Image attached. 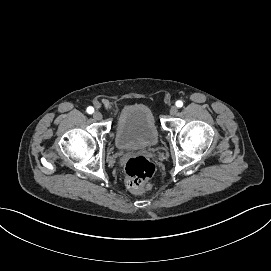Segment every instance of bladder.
<instances>
[{
    "instance_id": "obj_1",
    "label": "bladder",
    "mask_w": 271,
    "mask_h": 271,
    "mask_svg": "<svg viewBox=\"0 0 271 271\" xmlns=\"http://www.w3.org/2000/svg\"><path fill=\"white\" fill-rule=\"evenodd\" d=\"M158 137V129L148 106L138 103L122 110L114 130V140L119 149L152 147Z\"/></svg>"
}]
</instances>
